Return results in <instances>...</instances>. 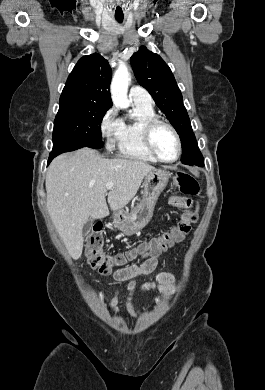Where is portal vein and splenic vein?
Returning <instances> with one entry per match:
<instances>
[{
    "instance_id": "18ae733b",
    "label": "portal vein and splenic vein",
    "mask_w": 265,
    "mask_h": 390,
    "mask_svg": "<svg viewBox=\"0 0 265 390\" xmlns=\"http://www.w3.org/2000/svg\"><path fill=\"white\" fill-rule=\"evenodd\" d=\"M112 187H113V183H107V184H106L107 190H111Z\"/></svg>"
}]
</instances>
